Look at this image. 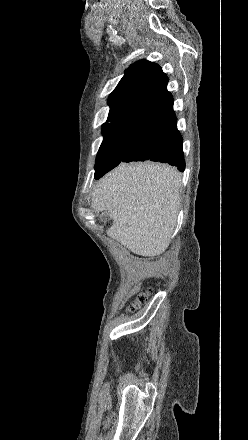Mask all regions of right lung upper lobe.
<instances>
[{
    "instance_id": "cb5924a9",
    "label": "right lung upper lobe",
    "mask_w": 248,
    "mask_h": 440,
    "mask_svg": "<svg viewBox=\"0 0 248 440\" xmlns=\"http://www.w3.org/2000/svg\"><path fill=\"white\" fill-rule=\"evenodd\" d=\"M167 83L168 77L154 62L142 60L132 64L108 98L110 111L102 126L104 139L125 130L133 131L173 105Z\"/></svg>"
}]
</instances>
